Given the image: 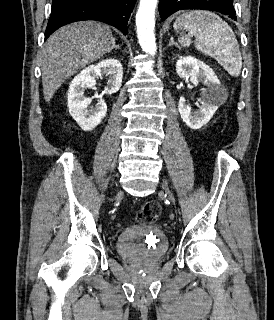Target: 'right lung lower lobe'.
Instances as JSON below:
<instances>
[{
	"instance_id": "98d812e1",
	"label": "right lung lower lobe",
	"mask_w": 274,
	"mask_h": 320,
	"mask_svg": "<svg viewBox=\"0 0 274 320\" xmlns=\"http://www.w3.org/2000/svg\"><path fill=\"white\" fill-rule=\"evenodd\" d=\"M134 3L135 0H53L45 39L61 26L82 20L101 21L126 34Z\"/></svg>"
}]
</instances>
